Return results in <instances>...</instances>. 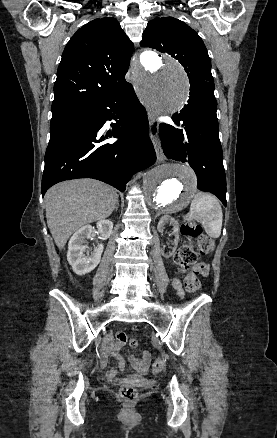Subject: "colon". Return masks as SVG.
Listing matches in <instances>:
<instances>
[{
  "instance_id": "1",
  "label": "colon",
  "mask_w": 277,
  "mask_h": 438,
  "mask_svg": "<svg viewBox=\"0 0 277 438\" xmlns=\"http://www.w3.org/2000/svg\"><path fill=\"white\" fill-rule=\"evenodd\" d=\"M182 235L190 240L191 243L181 245L174 255L175 262L181 270L186 274L184 286L188 292L195 293L201 287L199 277L206 276L209 272V265L204 262L197 261V252L210 254L215 245L211 238L203 233V227L200 223L194 221H184L180 229ZM116 339L120 344H129L135 346V340H128L127 335L123 331L116 332ZM163 369V361L156 359L152 365V371L159 374ZM117 398H121L122 402H129L128 406L133 408L134 402H138L141 392L140 389L124 388L117 389Z\"/></svg>"
}]
</instances>
